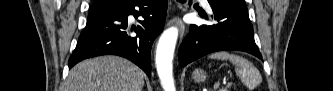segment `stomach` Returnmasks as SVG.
<instances>
[{
  "instance_id": "1",
  "label": "stomach",
  "mask_w": 333,
  "mask_h": 91,
  "mask_svg": "<svg viewBox=\"0 0 333 91\" xmlns=\"http://www.w3.org/2000/svg\"><path fill=\"white\" fill-rule=\"evenodd\" d=\"M206 73L201 69H196L193 72V78L196 82H203L206 80Z\"/></svg>"
}]
</instances>
